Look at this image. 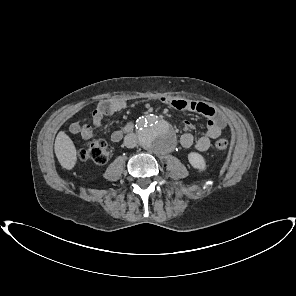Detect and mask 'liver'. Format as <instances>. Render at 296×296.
<instances>
[{
    "mask_svg": "<svg viewBox=\"0 0 296 296\" xmlns=\"http://www.w3.org/2000/svg\"><path fill=\"white\" fill-rule=\"evenodd\" d=\"M54 149L61 166L67 170L73 169L77 161V151L73 141L64 131L57 134Z\"/></svg>",
    "mask_w": 296,
    "mask_h": 296,
    "instance_id": "obj_1",
    "label": "liver"
}]
</instances>
